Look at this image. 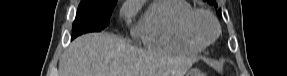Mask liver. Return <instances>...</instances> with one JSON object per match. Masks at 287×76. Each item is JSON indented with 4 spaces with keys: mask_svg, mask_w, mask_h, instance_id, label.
<instances>
[{
    "mask_svg": "<svg viewBox=\"0 0 287 76\" xmlns=\"http://www.w3.org/2000/svg\"><path fill=\"white\" fill-rule=\"evenodd\" d=\"M196 61L138 50L110 33H92L64 51L59 76H183Z\"/></svg>",
    "mask_w": 287,
    "mask_h": 76,
    "instance_id": "obj_1",
    "label": "liver"
}]
</instances>
